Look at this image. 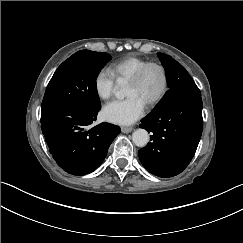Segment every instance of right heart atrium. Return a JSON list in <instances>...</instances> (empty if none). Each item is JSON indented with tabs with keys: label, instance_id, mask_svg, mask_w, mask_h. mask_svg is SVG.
<instances>
[{
	"label": "right heart atrium",
	"instance_id": "d8ad5b80",
	"mask_svg": "<svg viewBox=\"0 0 243 243\" xmlns=\"http://www.w3.org/2000/svg\"><path fill=\"white\" fill-rule=\"evenodd\" d=\"M116 79L108 66L100 67L93 78V89L99 100H105L113 95Z\"/></svg>",
	"mask_w": 243,
	"mask_h": 243
}]
</instances>
